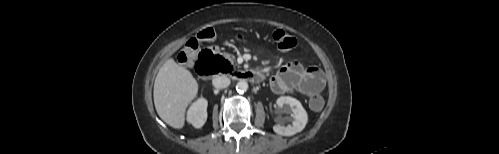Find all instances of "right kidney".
Here are the masks:
<instances>
[{
	"mask_svg": "<svg viewBox=\"0 0 499 154\" xmlns=\"http://www.w3.org/2000/svg\"><path fill=\"white\" fill-rule=\"evenodd\" d=\"M207 100L199 98L188 110L187 121L195 128H201L207 120Z\"/></svg>",
	"mask_w": 499,
	"mask_h": 154,
	"instance_id": "obj_1",
	"label": "right kidney"
}]
</instances>
